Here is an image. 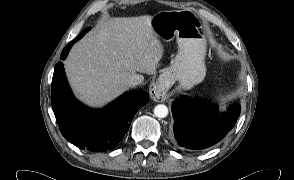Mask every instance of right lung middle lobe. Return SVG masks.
<instances>
[{
    "label": "right lung middle lobe",
    "mask_w": 294,
    "mask_h": 180,
    "mask_svg": "<svg viewBox=\"0 0 294 180\" xmlns=\"http://www.w3.org/2000/svg\"><path fill=\"white\" fill-rule=\"evenodd\" d=\"M89 29H90V28H87V29H85L84 31H86V32H87Z\"/></svg>",
    "instance_id": "right-lung-middle-lobe-1"
}]
</instances>
